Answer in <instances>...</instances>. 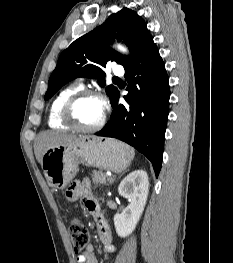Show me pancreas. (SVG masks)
Returning a JSON list of instances; mask_svg holds the SVG:
<instances>
[{
    "label": "pancreas",
    "mask_w": 233,
    "mask_h": 263,
    "mask_svg": "<svg viewBox=\"0 0 233 263\" xmlns=\"http://www.w3.org/2000/svg\"><path fill=\"white\" fill-rule=\"evenodd\" d=\"M91 177H92V181L95 183V184H105L106 181L108 180L109 181V178L108 176L102 172V171H96L94 170L91 174ZM111 182V181H110Z\"/></svg>",
    "instance_id": "pancreas-1"
}]
</instances>
